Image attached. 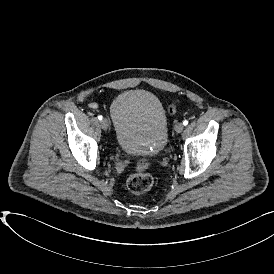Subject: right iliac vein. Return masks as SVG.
I'll return each instance as SVG.
<instances>
[{
    "label": "right iliac vein",
    "instance_id": "63e3f726",
    "mask_svg": "<svg viewBox=\"0 0 274 274\" xmlns=\"http://www.w3.org/2000/svg\"><path fill=\"white\" fill-rule=\"evenodd\" d=\"M100 124L103 130H107L109 128V122L107 119H103Z\"/></svg>",
    "mask_w": 274,
    "mask_h": 274
}]
</instances>
